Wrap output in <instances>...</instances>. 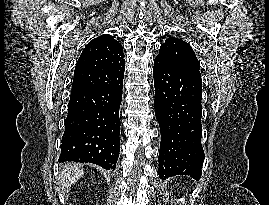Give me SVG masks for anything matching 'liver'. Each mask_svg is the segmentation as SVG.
I'll list each match as a JSON object with an SVG mask.
<instances>
[{
  "label": "liver",
  "instance_id": "obj_1",
  "mask_svg": "<svg viewBox=\"0 0 269 205\" xmlns=\"http://www.w3.org/2000/svg\"><path fill=\"white\" fill-rule=\"evenodd\" d=\"M84 172L77 164L70 163L66 166L65 170L60 175L62 185L70 187L79 178L83 176Z\"/></svg>",
  "mask_w": 269,
  "mask_h": 205
}]
</instances>
